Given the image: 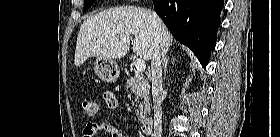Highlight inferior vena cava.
<instances>
[{
    "label": "inferior vena cava",
    "mask_w": 280,
    "mask_h": 137,
    "mask_svg": "<svg viewBox=\"0 0 280 137\" xmlns=\"http://www.w3.org/2000/svg\"><path fill=\"white\" fill-rule=\"evenodd\" d=\"M155 21L158 17L155 12H152ZM161 51L159 45H156L151 59L152 70V97L154 108V131L152 137L162 136V108H161V94H162V67H161Z\"/></svg>",
    "instance_id": "inferior-vena-cava-1"
}]
</instances>
